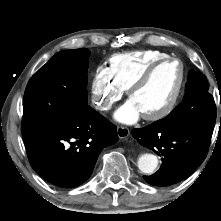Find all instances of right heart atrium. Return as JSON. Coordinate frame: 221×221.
Here are the masks:
<instances>
[{
	"label": "right heart atrium",
	"instance_id": "obj_1",
	"mask_svg": "<svg viewBox=\"0 0 221 221\" xmlns=\"http://www.w3.org/2000/svg\"><path fill=\"white\" fill-rule=\"evenodd\" d=\"M125 90L117 84L108 68L98 66L91 80L92 103L99 111H109Z\"/></svg>",
	"mask_w": 221,
	"mask_h": 221
}]
</instances>
